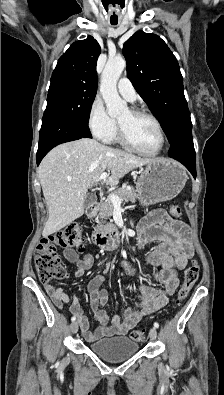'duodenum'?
Returning <instances> with one entry per match:
<instances>
[{
    "label": "duodenum",
    "mask_w": 224,
    "mask_h": 395,
    "mask_svg": "<svg viewBox=\"0 0 224 395\" xmlns=\"http://www.w3.org/2000/svg\"><path fill=\"white\" fill-rule=\"evenodd\" d=\"M98 202H93L87 210V215L92 217L95 213ZM92 242L104 250H111L124 245V238L118 226L109 224L101 231H95L91 235Z\"/></svg>",
    "instance_id": "duodenum-1"
}]
</instances>
